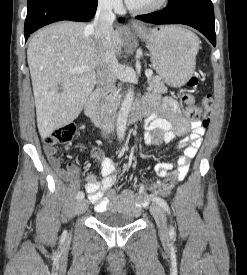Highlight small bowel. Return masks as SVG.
Masks as SVG:
<instances>
[{"mask_svg": "<svg viewBox=\"0 0 247 275\" xmlns=\"http://www.w3.org/2000/svg\"><path fill=\"white\" fill-rule=\"evenodd\" d=\"M144 103L151 112L145 121L143 140L147 145L169 144L176 137H181L179 148H184V155L175 163L161 162L155 167L161 177L172 176L183 180L189 171V164L198 153L205 134V127L199 119H187L178 103L167 97L158 95L146 96ZM191 132V133H189ZM48 161L60 178L69 182L79 180L80 170L73 163L62 165L54 146L44 148ZM90 156L100 163L101 178L94 174L86 177L85 190L89 200L94 204L96 212L112 210L130 214H139L150 201L147 187L139 185L137 191L123 189L116 191L115 165L112 158L106 156L101 149L95 148Z\"/></svg>", "mask_w": 247, "mask_h": 275, "instance_id": "small-bowel-1", "label": "small bowel"}]
</instances>
